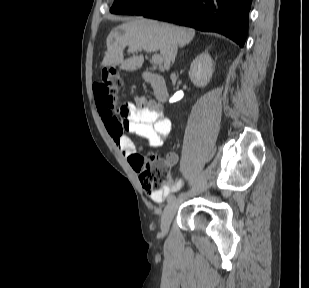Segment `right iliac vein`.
I'll return each instance as SVG.
<instances>
[{"label": "right iliac vein", "instance_id": "63e3f726", "mask_svg": "<svg viewBox=\"0 0 309 288\" xmlns=\"http://www.w3.org/2000/svg\"><path fill=\"white\" fill-rule=\"evenodd\" d=\"M183 201V198H176L174 200H169L168 205L165 207L161 218V229L163 233H167L169 225L176 213L179 204Z\"/></svg>", "mask_w": 309, "mask_h": 288}]
</instances>
